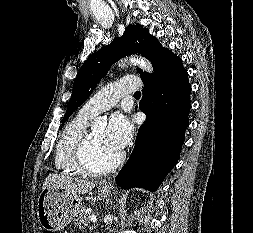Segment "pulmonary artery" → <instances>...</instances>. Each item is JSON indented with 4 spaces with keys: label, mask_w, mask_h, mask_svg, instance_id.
<instances>
[{
    "label": "pulmonary artery",
    "mask_w": 253,
    "mask_h": 233,
    "mask_svg": "<svg viewBox=\"0 0 253 233\" xmlns=\"http://www.w3.org/2000/svg\"><path fill=\"white\" fill-rule=\"evenodd\" d=\"M139 80L133 76L122 77L93 95L80 109V113L93 117L112 108L119 99L139 88Z\"/></svg>",
    "instance_id": "obj_1"
}]
</instances>
